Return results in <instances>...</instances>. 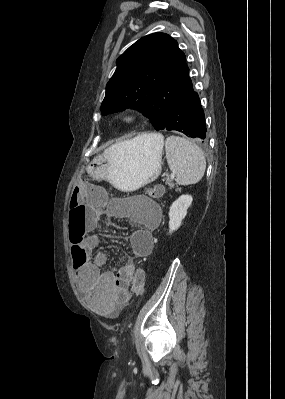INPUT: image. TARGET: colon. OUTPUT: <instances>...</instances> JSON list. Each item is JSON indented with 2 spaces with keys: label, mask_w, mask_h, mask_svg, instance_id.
I'll return each mask as SVG.
<instances>
[{
  "label": "colon",
  "mask_w": 285,
  "mask_h": 399,
  "mask_svg": "<svg viewBox=\"0 0 285 399\" xmlns=\"http://www.w3.org/2000/svg\"><path fill=\"white\" fill-rule=\"evenodd\" d=\"M75 191L85 192V193H95L98 196H101V193L98 190H96L94 185L90 182H84V181L78 182L75 185ZM146 192L149 196H151L153 198H160L164 194V188L162 185L156 184V185H153L152 187L147 188ZM85 217H86V214L84 213L83 209H81L77 205H74L71 208L70 220L72 222H77L79 220L84 219ZM70 241H71V243L75 242L76 241L75 237L71 235ZM83 262H84L83 257L76 258V260L74 262V266L78 268L81 266V264ZM144 280H145L144 273L141 268H138L135 273V276L133 279V284H132L133 290L135 292L142 293L143 287H144Z\"/></svg>",
  "instance_id": "5ec220e1"
}]
</instances>
